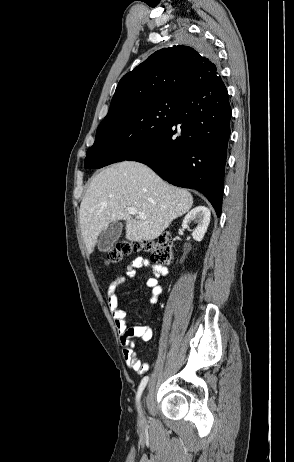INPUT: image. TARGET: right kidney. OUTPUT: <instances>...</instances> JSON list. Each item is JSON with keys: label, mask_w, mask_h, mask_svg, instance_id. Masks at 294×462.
<instances>
[{"label": "right kidney", "mask_w": 294, "mask_h": 462, "mask_svg": "<svg viewBox=\"0 0 294 462\" xmlns=\"http://www.w3.org/2000/svg\"><path fill=\"white\" fill-rule=\"evenodd\" d=\"M210 216L211 213L208 208L205 206H197L185 216L182 222V228L186 229L192 221H195L198 225L192 232V237L194 240L200 242L203 239L209 226Z\"/></svg>", "instance_id": "ca27d5eb"}]
</instances>
